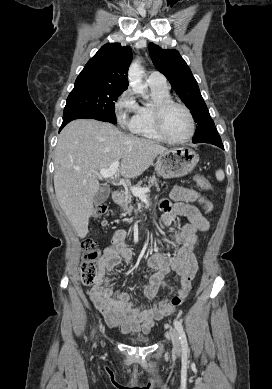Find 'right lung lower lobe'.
Segmentation results:
<instances>
[{
    "label": "right lung lower lobe",
    "mask_w": 272,
    "mask_h": 389,
    "mask_svg": "<svg viewBox=\"0 0 272 389\" xmlns=\"http://www.w3.org/2000/svg\"><path fill=\"white\" fill-rule=\"evenodd\" d=\"M80 118H89L87 116H84V115H80V114H70V115H65L63 116V123L61 125V128L59 130V132L61 131V129L70 121L72 120H75V119H80ZM92 119V118H91Z\"/></svg>",
    "instance_id": "1"
}]
</instances>
